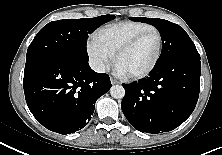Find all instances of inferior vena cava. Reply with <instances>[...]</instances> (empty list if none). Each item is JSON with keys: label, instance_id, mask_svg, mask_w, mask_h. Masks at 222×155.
<instances>
[{"label": "inferior vena cava", "instance_id": "1", "mask_svg": "<svg viewBox=\"0 0 222 155\" xmlns=\"http://www.w3.org/2000/svg\"><path fill=\"white\" fill-rule=\"evenodd\" d=\"M89 64H90V67L94 71L99 72V73L105 72V65H104V63L101 60H99V59H91L89 61Z\"/></svg>", "mask_w": 222, "mask_h": 155}]
</instances>
